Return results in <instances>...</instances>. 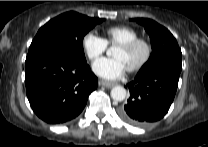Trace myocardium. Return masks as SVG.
<instances>
[{
  "label": "myocardium",
  "mask_w": 208,
  "mask_h": 147,
  "mask_svg": "<svg viewBox=\"0 0 208 147\" xmlns=\"http://www.w3.org/2000/svg\"><path fill=\"white\" fill-rule=\"evenodd\" d=\"M138 46H142L144 48L145 50L144 56L137 64L128 68L129 72H136L141 70L150 61L153 53L152 45L149 42V40L141 37L118 44V47H121L126 50H132Z\"/></svg>",
  "instance_id": "myocardium-1"
}]
</instances>
